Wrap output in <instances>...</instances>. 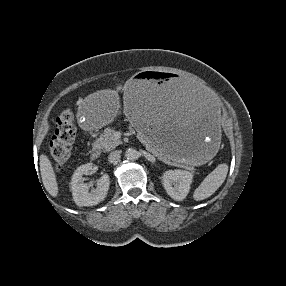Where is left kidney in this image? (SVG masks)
Segmentation results:
<instances>
[{
    "label": "left kidney",
    "instance_id": "1",
    "mask_svg": "<svg viewBox=\"0 0 286 286\" xmlns=\"http://www.w3.org/2000/svg\"><path fill=\"white\" fill-rule=\"evenodd\" d=\"M163 186L167 194L176 201H182L189 193L193 173L186 170H168L163 176Z\"/></svg>",
    "mask_w": 286,
    "mask_h": 286
}]
</instances>
